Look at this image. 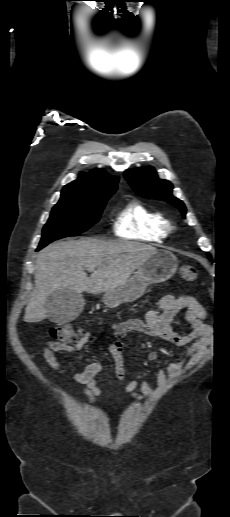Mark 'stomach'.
Listing matches in <instances>:
<instances>
[{
	"mask_svg": "<svg viewBox=\"0 0 230 517\" xmlns=\"http://www.w3.org/2000/svg\"><path fill=\"white\" fill-rule=\"evenodd\" d=\"M177 267L178 261L174 254L166 250H157L123 285L105 292L103 302L110 308L121 303L133 302L143 295L148 284L164 282L171 278Z\"/></svg>",
	"mask_w": 230,
	"mask_h": 517,
	"instance_id": "obj_1",
	"label": "stomach"
}]
</instances>
